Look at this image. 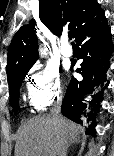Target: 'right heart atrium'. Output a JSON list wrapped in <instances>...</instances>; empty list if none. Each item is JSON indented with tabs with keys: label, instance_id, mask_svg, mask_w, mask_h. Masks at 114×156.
I'll list each match as a JSON object with an SVG mask.
<instances>
[{
	"label": "right heart atrium",
	"instance_id": "1",
	"mask_svg": "<svg viewBox=\"0 0 114 156\" xmlns=\"http://www.w3.org/2000/svg\"><path fill=\"white\" fill-rule=\"evenodd\" d=\"M26 90L30 105L43 111L63 97L59 72L49 66L35 65L26 77Z\"/></svg>",
	"mask_w": 114,
	"mask_h": 156
}]
</instances>
